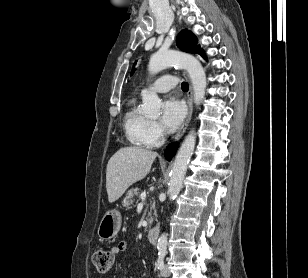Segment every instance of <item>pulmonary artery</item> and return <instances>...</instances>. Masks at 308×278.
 <instances>
[{
  "mask_svg": "<svg viewBox=\"0 0 308 278\" xmlns=\"http://www.w3.org/2000/svg\"><path fill=\"white\" fill-rule=\"evenodd\" d=\"M177 84V78L171 75H165L157 79L152 87L151 90L158 92V93H165L175 87Z\"/></svg>",
  "mask_w": 308,
  "mask_h": 278,
  "instance_id": "pulmonary-artery-1",
  "label": "pulmonary artery"
}]
</instances>
